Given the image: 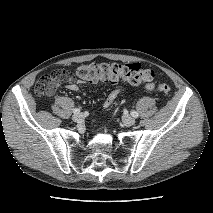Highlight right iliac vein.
<instances>
[{
	"label": "right iliac vein",
	"instance_id": "right-iliac-vein-1",
	"mask_svg": "<svg viewBox=\"0 0 213 213\" xmlns=\"http://www.w3.org/2000/svg\"><path fill=\"white\" fill-rule=\"evenodd\" d=\"M84 119V117H83V115L82 114H74L73 116H72V120L74 121V122H81L82 120Z\"/></svg>",
	"mask_w": 213,
	"mask_h": 213
}]
</instances>
